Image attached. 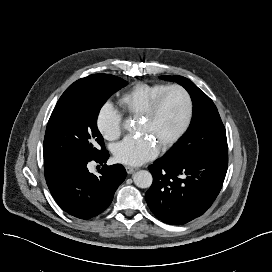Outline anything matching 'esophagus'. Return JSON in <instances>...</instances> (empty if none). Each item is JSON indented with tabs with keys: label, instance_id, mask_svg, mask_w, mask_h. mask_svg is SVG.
Listing matches in <instances>:
<instances>
[{
	"label": "esophagus",
	"instance_id": "1",
	"mask_svg": "<svg viewBox=\"0 0 272 272\" xmlns=\"http://www.w3.org/2000/svg\"><path fill=\"white\" fill-rule=\"evenodd\" d=\"M125 169H126L128 174H133L135 171H137V168L130 167V166H126Z\"/></svg>",
	"mask_w": 272,
	"mask_h": 272
}]
</instances>
